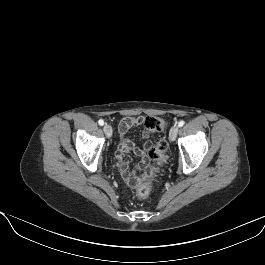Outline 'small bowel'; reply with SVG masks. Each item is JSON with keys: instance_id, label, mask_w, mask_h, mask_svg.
<instances>
[{"instance_id": "obj_1", "label": "small bowel", "mask_w": 265, "mask_h": 265, "mask_svg": "<svg viewBox=\"0 0 265 265\" xmlns=\"http://www.w3.org/2000/svg\"><path fill=\"white\" fill-rule=\"evenodd\" d=\"M143 118H133L127 117L124 118L118 127V132L120 135V144L118 147V151L116 154V158L118 161L119 169L122 174L125 182L132 184L136 182V177L129 170V159L128 154L130 152L135 153L137 156H144L146 152L151 147V142L149 140V132L148 130H144L142 132V138L145 140L142 147H137L128 137V131L135 126L142 125Z\"/></svg>"}]
</instances>
